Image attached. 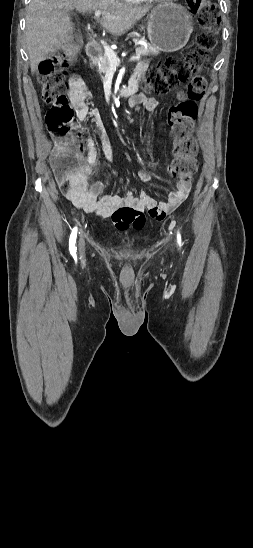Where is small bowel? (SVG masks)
I'll list each match as a JSON object with an SVG mask.
<instances>
[{
	"label": "small bowel",
	"mask_w": 253,
	"mask_h": 548,
	"mask_svg": "<svg viewBox=\"0 0 253 548\" xmlns=\"http://www.w3.org/2000/svg\"><path fill=\"white\" fill-rule=\"evenodd\" d=\"M146 63L138 64L135 77L137 80L145 71ZM68 98L76 111L77 118L83 122L90 116L95 124L99 134V139L105 159L109 163L114 162L111 144L105 132L100 115L96 109L89 111L87 101L91 98L85 81L79 75H72L69 79ZM129 104L132 107H143L147 111H154L158 108L159 102L153 97H147L138 93L131 96ZM176 147V139L173 142ZM98 162V149L95 140L91 136L86 137V156L79 158L75 172L69 179L66 186L59 181L61 190L76 208L86 213H96L103 218L112 217V221L120 230H125L129 225L135 229H141L144 226L145 218L143 213L147 211L149 215L157 220H163L167 214L180 206L188 197L191 190V182L178 178L176 190L170 192L166 201L158 202L145 191L139 195L127 192L123 197L119 195H102L104 184L102 181L90 183V179L95 175V165ZM143 182H150V176L145 171L138 173Z\"/></svg>",
	"instance_id": "obj_1"
}]
</instances>
